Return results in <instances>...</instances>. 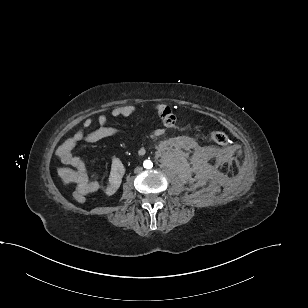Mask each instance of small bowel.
<instances>
[{
	"label": "small bowel",
	"mask_w": 308,
	"mask_h": 308,
	"mask_svg": "<svg viewBox=\"0 0 308 308\" xmlns=\"http://www.w3.org/2000/svg\"><path fill=\"white\" fill-rule=\"evenodd\" d=\"M156 111L161 113L163 110L168 109L165 105L158 104L154 107ZM137 111L133 105H124L116 107L111 111L112 117H129ZM96 123L98 128L86 132L94 125L92 119H86L83 122V129L77 131L71 138L65 140L57 148V156L62 163L72 167L71 180L77 184V188L85 191L87 194H92L100 190L104 191L107 195H113L119 188L125 167L119 159H114L111 164L110 174L106 185H101L100 182L88 173L84 161L73 154V149L81 142L97 143L107 138L114 137L118 134L116 128L108 126V117L105 114H100L97 117ZM162 134V130H157L150 135L151 138H156Z\"/></svg>",
	"instance_id": "c3829d8e"
}]
</instances>
